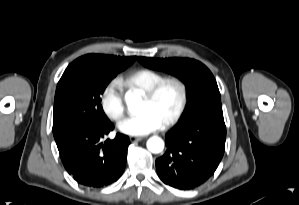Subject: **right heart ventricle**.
Returning a JSON list of instances; mask_svg holds the SVG:
<instances>
[{
    "mask_svg": "<svg viewBox=\"0 0 299 205\" xmlns=\"http://www.w3.org/2000/svg\"><path fill=\"white\" fill-rule=\"evenodd\" d=\"M165 78L166 76L160 72L148 68H142L119 78L118 82L120 86H123L130 91L143 94L145 91L152 88Z\"/></svg>",
    "mask_w": 299,
    "mask_h": 205,
    "instance_id": "obj_1",
    "label": "right heart ventricle"
}]
</instances>
